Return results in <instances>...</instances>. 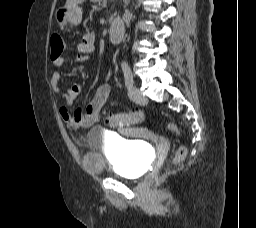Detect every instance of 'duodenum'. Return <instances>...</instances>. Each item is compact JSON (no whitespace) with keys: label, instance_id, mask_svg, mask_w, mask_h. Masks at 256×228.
Segmentation results:
<instances>
[{"label":"duodenum","instance_id":"410a0bca","mask_svg":"<svg viewBox=\"0 0 256 228\" xmlns=\"http://www.w3.org/2000/svg\"><path fill=\"white\" fill-rule=\"evenodd\" d=\"M124 35V26L120 21H114L109 30V39L112 43H119Z\"/></svg>","mask_w":256,"mask_h":228}]
</instances>
